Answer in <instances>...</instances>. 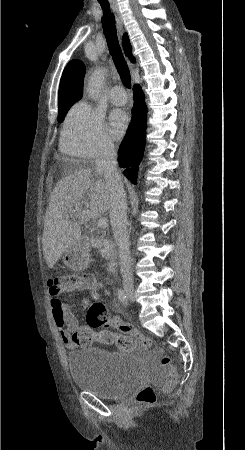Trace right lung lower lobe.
I'll return each instance as SVG.
<instances>
[{
    "label": "right lung lower lobe",
    "instance_id": "right-lung-lower-lobe-1",
    "mask_svg": "<svg viewBox=\"0 0 245 450\" xmlns=\"http://www.w3.org/2000/svg\"><path fill=\"white\" fill-rule=\"evenodd\" d=\"M134 92L135 104L132 123L119 147L118 155L119 166L126 168L124 175L136 184L138 165L141 162L145 145L147 108L144 93L139 85L135 86Z\"/></svg>",
    "mask_w": 245,
    "mask_h": 450
}]
</instances>
